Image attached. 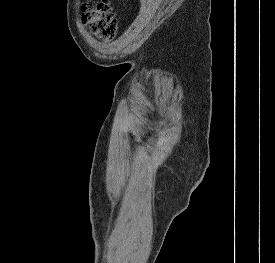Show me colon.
Wrapping results in <instances>:
<instances>
[{"mask_svg":"<svg viewBox=\"0 0 275 263\" xmlns=\"http://www.w3.org/2000/svg\"><path fill=\"white\" fill-rule=\"evenodd\" d=\"M82 11L86 29L96 39L108 40L114 35L117 20L112 12L110 0L88 2L83 6Z\"/></svg>","mask_w":275,"mask_h":263,"instance_id":"1","label":"colon"}]
</instances>
